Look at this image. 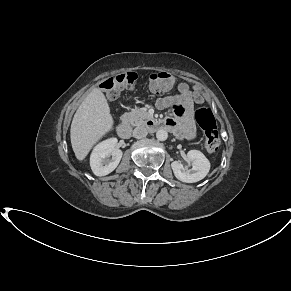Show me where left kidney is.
<instances>
[{"label": "left kidney", "mask_w": 291, "mask_h": 291, "mask_svg": "<svg viewBox=\"0 0 291 291\" xmlns=\"http://www.w3.org/2000/svg\"><path fill=\"white\" fill-rule=\"evenodd\" d=\"M187 161L192 163V168L184 167L180 161L171 163L175 177L185 183H194L202 180L210 170V162L205 155L198 150H190L187 153Z\"/></svg>", "instance_id": "5707ae66"}]
</instances>
